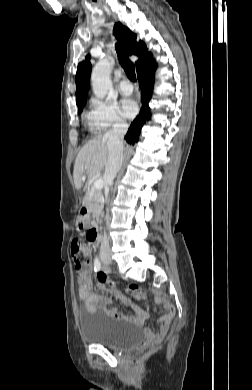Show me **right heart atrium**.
<instances>
[{
  "label": "right heart atrium",
  "mask_w": 252,
  "mask_h": 390,
  "mask_svg": "<svg viewBox=\"0 0 252 390\" xmlns=\"http://www.w3.org/2000/svg\"><path fill=\"white\" fill-rule=\"evenodd\" d=\"M88 121L91 128L99 132L122 129L127 126L125 117L114 103L96 98L90 101Z\"/></svg>",
  "instance_id": "1"
}]
</instances>
